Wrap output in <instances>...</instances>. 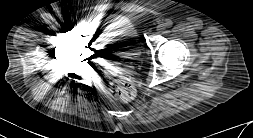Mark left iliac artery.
I'll return each mask as SVG.
<instances>
[{
    "instance_id": "obj_1",
    "label": "left iliac artery",
    "mask_w": 253,
    "mask_h": 138,
    "mask_svg": "<svg viewBox=\"0 0 253 138\" xmlns=\"http://www.w3.org/2000/svg\"><path fill=\"white\" fill-rule=\"evenodd\" d=\"M172 24H173V22H172L171 20H169V21H167V22L165 23L166 27H171Z\"/></svg>"
}]
</instances>
